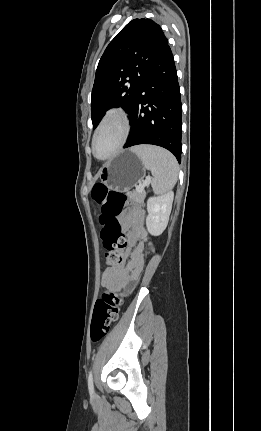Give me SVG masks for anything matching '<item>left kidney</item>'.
Masks as SVG:
<instances>
[{"label": "left kidney", "instance_id": "1", "mask_svg": "<svg viewBox=\"0 0 261 431\" xmlns=\"http://www.w3.org/2000/svg\"><path fill=\"white\" fill-rule=\"evenodd\" d=\"M173 193L150 197L147 201L146 227L153 236H159L166 229L172 209Z\"/></svg>", "mask_w": 261, "mask_h": 431}]
</instances>
